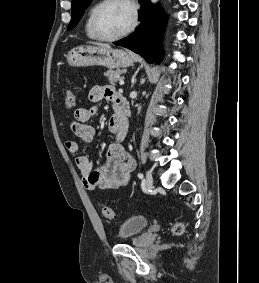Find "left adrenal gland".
<instances>
[{"instance_id":"a2214340","label":"left adrenal gland","mask_w":259,"mask_h":283,"mask_svg":"<svg viewBox=\"0 0 259 283\" xmlns=\"http://www.w3.org/2000/svg\"><path fill=\"white\" fill-rule=\"evenodd\" d=\"M136 83V77H135V75H134V77H133V79H132V85H131V87H133V85Z\"/></svg>"}]
</instances>
